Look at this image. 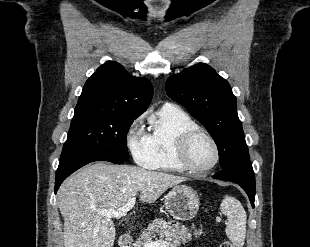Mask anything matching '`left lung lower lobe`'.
<instances>
[{
	"label": "left lung lower lobe",
	"mask_w": 310,
	"mask_h": 247,
	"mask_svg": "<svg viewBox=\"0 0 310 247\" xmlns=\"http://www.w3.org/2000/svg\"><path fill=\"white\" fill-rule=\"evenodd\" d=\"M213 178L232 181L240 185L249 196L251 205L254 207L255 176L250 162L236 168L221 170Z\"/></svg>",
	"instance_id": "left-lung-lower-lobe-1"
}]
</instances>
